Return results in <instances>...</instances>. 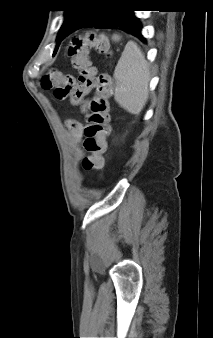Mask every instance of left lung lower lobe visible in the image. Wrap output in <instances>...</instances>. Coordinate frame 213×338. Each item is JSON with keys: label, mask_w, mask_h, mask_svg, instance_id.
I'll return each instance as SVG.
<instances>
[{"label": "left lung lower lobe", "mask_w": 213, "mask_h": 338, "mask_svg": "<svg viewBox=\"0 0 213 338\" xmlns=\"http://www.w3.org/2000/svg\"><path fill=\"white\" fill-rule=\"evenodd\" d=\"M119 28L134 35L141 41L145 39L141 33L142 27L134 11L126 8L87 9L69 28L67 35L85 28Z\"/></svg>", "instance_id": "1"}]
</instances>
